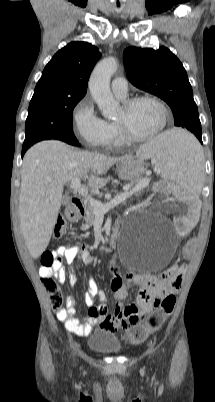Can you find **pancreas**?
Wrapping results in <instances>:
<instances>
[{
    "label": "pancreas",
    "instance_id": "pancreas-1",
    "mask_svg": "<svg viewBox=\"0 0 215 402\" xmlns=\"http://www.w3.org/2000/svg\"><path fill=\"white\" fill-rule=\"evenodd\" d=\"M137 184H138V181L137 182H131V183L128 184V186L131 188V190L135 189V192H138L140 189H138V190L136 189ZM95 218H96V214H95L93 208L90 205H88L87 208H86V216L84 217V220L86 222V226L87 227L92 226L94 224V222H95Z\"/></svg>",
    "mask_w": 215,
    "mask_h": 402
}]
</instances>
